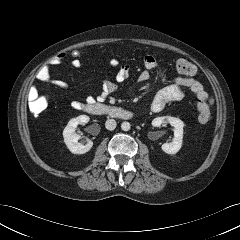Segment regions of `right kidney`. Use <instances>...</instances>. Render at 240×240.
Returning a JSON list of instances; mask_svg holds the SVG:
<instances>
[{"instance_id": "obj_1", "label": "right kidney", "mask_w": 240, "mask_h": 240, "mask_svg": "<svg viewBox=\"0 0 240 240\" xmlns=\"http://www.w3.org/2000/svg\"><path fill=\"white\" fill-rule=\"evenodd\" d=\"M89 122V117L87 115H80L76 118L71 119L67 126L63 130L64 143L70 152L74 154H84L88 152L93 147V142L88 141L85 145L78 143L80 135L75 133V128L79 124H86Z\"/></svg>"}]
</instances>
